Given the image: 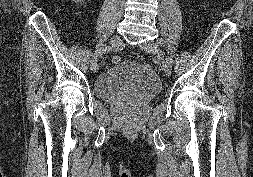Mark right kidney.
I'll return each mask as SVG.
<instances>
[{"label": "right kidney", "instance_id": "right-kidney-1", "mask_svg": "<svg viewBox=\"0 0 253 177\" xmlns=\"http://www.w3.org/2000/svg\"><path fill=\"white\" fill-rule=\"evenodd\" d=\"M72 1H74L76 3H81V2H84L85 0H72Z\"/></svg>", "mask_w": 253, "mask_h": 177}]
</instances>
